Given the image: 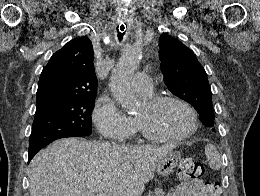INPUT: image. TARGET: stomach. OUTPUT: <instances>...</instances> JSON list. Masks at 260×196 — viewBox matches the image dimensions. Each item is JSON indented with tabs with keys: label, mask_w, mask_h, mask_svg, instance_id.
I'll return each mask as SVG.
<instances>
[{
	"label": "stomach",
	"mask_w": 260,
	"mask_h": 196,
	"mask_svg": "<svg viewBox=\"0 0 260 196\" xmlns=\"http://www.w3.org/2000/svg\"><path fill=\"white\" fill-rule=\"evenodd\" d=\"M180 154L178 152H169L163 156L156 164V172L159 176H170L176 170L179 162Z\"/></svg>",
	"instance_id": "stomach-1"
}]
</instances>
